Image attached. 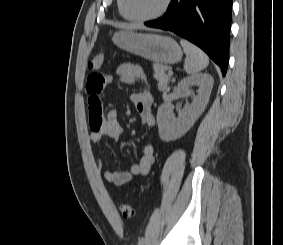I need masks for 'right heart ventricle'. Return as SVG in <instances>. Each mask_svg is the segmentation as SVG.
<instances>
[{
  "label": "right heart ventricle",
  "instance_id": "1",
  "mask_svg": "<svg viewBox=\"0 0 283 245\" xmlns=\"http://www.w3.org/2000/svg\"><path fill=\"white\" fill-rule=\"evenodd\" d=\"M117 4H118L119 13L122 15V17H124V15L122 13V9H121V0H117Z\"/></svg>",
  "mask_w": 283,
  "mask_h": 245
}]
</instances>
